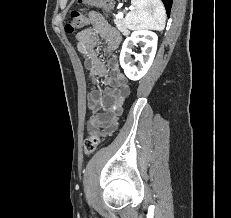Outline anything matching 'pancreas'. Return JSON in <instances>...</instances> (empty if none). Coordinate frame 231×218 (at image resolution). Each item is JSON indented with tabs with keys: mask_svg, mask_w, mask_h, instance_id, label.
I'll list each match as a JSON object with an SVG mask.
<instances>
[{
	"mask_svg": "<svg viewBox=\"0 0 231 218\" xmlns=\"http://www.w3.org/2000/svg\"><path fill=\"white\" fill-rule=\"evenodd\" d=\"M114 22H115L118 30L121 31V33L123 35H128L129 31L127 30V27H126L124 20L122 18H116L114 20Z\"/></svg>",
	"mask_w": 231,
	"mask_h": 218,
	"instance_id": "cf45deb5",
	"label": "pancreas"
}]
</instances>
